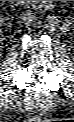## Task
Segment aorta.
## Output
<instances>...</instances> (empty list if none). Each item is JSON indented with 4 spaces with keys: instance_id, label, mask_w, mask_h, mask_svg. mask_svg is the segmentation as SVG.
<instances>
[{
    "instance_id": "762f6f07",
    "label": "aorta",
    "mask_w": 74,
    "mask_h": 122,
    "mask_svg": "<svg viewBox=\"0 0 74 122\" xmlns=\"http://www.w3.org/2000/svg\"><path fill=\"white\" fill-rule=\"evenodd\" d=\"M46 27L50 30V31H55L58 27V20L56 17L54 16H49L46 19Z\"/></svg>"
}]
</instances>
